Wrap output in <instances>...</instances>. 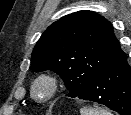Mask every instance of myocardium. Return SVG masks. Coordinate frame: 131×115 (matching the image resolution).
<instances>
[{"instance_id":"myocardium-1","label":"myocardium","mask_w":131,"mask_h":115,"mask_svg":"<svg viewBox=\"0 0 131 115\" xmlns=\"http://www.w3.org/2000/svg\"><path fill=\"white\" fill-rule=\"evenodd\" d=\"M40 83H44L47 86V93L44 97H39L37 95V86ZM58 90V80L57 77L51 73H41L33 80L31 85V94L34 98L40 100V102H47L51 100Z\"/></svg>"}]
</instances>
